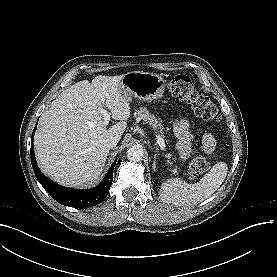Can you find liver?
<instances>
[{
	"label": "liver",
	"instance_id": "liver-1",
	"mask_svg": "<svg viewBox=\"0 0 277 277\" xmlns=\"http://www.w3.org/2000/svg\"><path fill=\"white\" fill-rule=\"evenodd\" d=\"M123 75L96 76L64 90L41 115L34 137L41 171L68 187H88L100 179L109 154L108 137L121 139L130 117L119 84ZM120 122L104 126L102 109Z\"/></svg>",
	"mask_w": 277,
	"mask_h": 277
}]
</instances>
